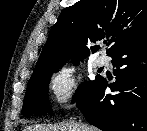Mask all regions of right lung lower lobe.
<instances>
[{"label":"right lung lower lobe","instance_id":"right-lung-lower-lobe-1","mask_svg":"<svg viewBox=\"0 0 147 131\" xmlns=\"http://www.w3.org/2000/svg\"><path fill=\"white\" fill-rule=\"evenodd\" d=\"M111 57L116 81L99 77L77 106L102 131H147V35ZM107 86L113 95L104 94Z\"/></svg>","mask_w":147,"mask_h":131}]
</instances>
